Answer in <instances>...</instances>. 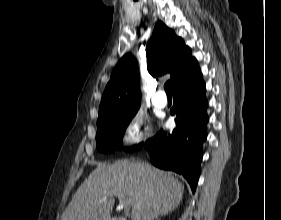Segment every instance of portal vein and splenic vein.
<instances>
[{"label":"portal vein and splenic vein","instance_id":"obj_1","mask_svg":"<svg viewBox=\"0 0 281 220\" xmlns=\"http://www.w3.org/2000/svg\"><path fill=\"white\" fill-rule=\"evenodd\" d=\"M107 193V192H106ZM111 194H114L116 196H118V198L122 199L123 203H124V206H128V205H131V200H130V197H125V195L122 193V192H117V191H112L110 192ZM108 194V193H107Z\"/></svg>","mask_w":281,"mask_h":220}]
</instances>
